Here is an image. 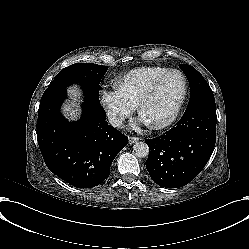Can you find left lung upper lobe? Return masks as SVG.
<instances>
[{
    "instance_id": "left-lung-upper-lobe-1",
    "label": "left lung upper lobe",
    "mask_w": 249,
    "mask_h": 249,
    "mask_svg": "<svg viewBox=\"0 0 249 249\" xmlns=\"http://www.w3.org/2000/svg\"><path fill=\"white\" fill-rule=\"evenodd\" d=\"M190 84V101L187 109L205 102H215L213 92L203 76L192 66L179 65Z\"/></svg>"
}]
</instances>
